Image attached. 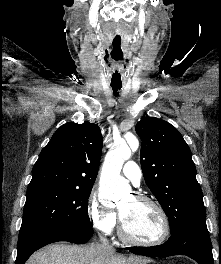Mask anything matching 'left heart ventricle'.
Returning a JSON list of instances; mask_svg holds the SVG:
<instances>
[{
    "label": "left heart ventricle",
    "mask_w": 221,
    "mask_h": 264,
    "mask_svg": "<svg viewBox=\"0 0 221 264\" xmlns=\"http://www.w3.org/2000/svg\"><path fill=\"white\" fill-rule=\"evenodd\" d=\"M119 213L128 233L141 241H154L163 231L162 219L149 203L127 198L119 207Z\"/></svg>",
    "instance_id": "obj_1"
}]
</instances>
